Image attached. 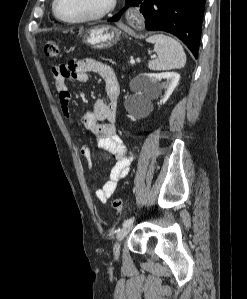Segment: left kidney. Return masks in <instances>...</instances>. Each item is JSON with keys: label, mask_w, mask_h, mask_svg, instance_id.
<instances>
[{"label": "left kidney", "mask_w": 247, "mask_h": 299, "mask_svg": "<svg viewBox=\"0 0 247 299\" xmlns=\"http://www.w3.org/2000/svg\"><path fill=\"white\" fill-rule=\"evenodd\" d=\"M165 80L162 84L159 81ZM180 80V75L176 72H165V73H153L146 76L143 87L145 91H152L159 86L165 89L164 96L162 98L163 103L166 102Z\"/></svg>", "instance_id": "left-kidney-1"}]
</instances>
